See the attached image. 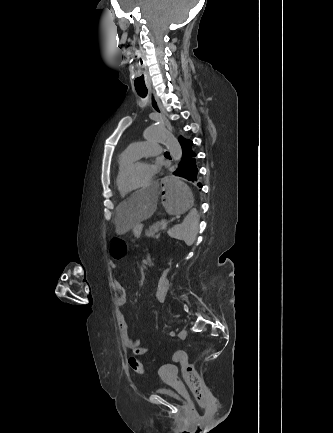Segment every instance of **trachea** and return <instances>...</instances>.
Segmentation results:
<instances>
[{"label":"trachea","mask_w":333,"mask_h":433,"mask_svg":"<svg viewBox=\"0 0 333 433\" xmlns=\"http://www.w3.org/2000/svg\"><path fill=\"white\" fill-rule=\"evenodd\" d=\"M137 93L142 97L147 96V89L145 87H137L135 86ZM165 155H169V152H165Z\"/></svg>","instance_id":"3493384b"}]
</instances>
